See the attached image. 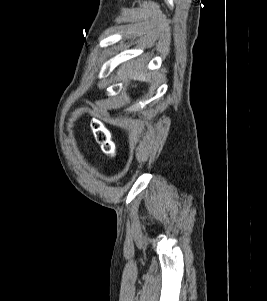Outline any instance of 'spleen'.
<instances>
[{"label":"spleen","mask_w":267,"mask_h":301,"mask_svg":"<svg viewBox=\"0 0 267 301\" xmlns=\"http://www.w3.org/2000/svg\"><path fill=\"white\" fill-rule=\"evenodd\" d=\"M130 77L135 80L150 81V76L141 71H135V72L131 73Z\"/></svg>","instance_id":"spleen-1"}]
</instances>
